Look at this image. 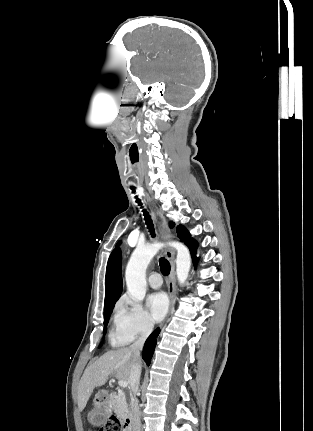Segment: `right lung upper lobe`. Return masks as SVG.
I'll return each mask as SVG.
<instances>
[{"instance_id":"1","label":"right lung upper lobe","mask_w":313,"mask_h":431,"mask_svg":"<svg viewBox=\"0 0 313 431\" xmlns=\"http://www.w3.org/2000/svg\"><path fill=\"white\" fill-rule=\"evenodd\" d=\"M121 251L116 248L111 253L105 277V302L104 308L116 303L122 292V276H121Z\"/></svg>"}]
</instances>
